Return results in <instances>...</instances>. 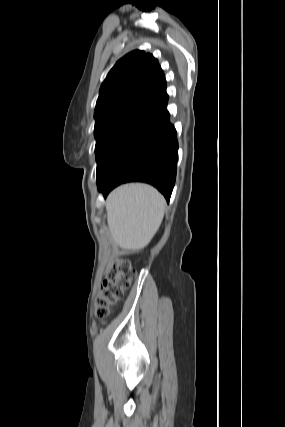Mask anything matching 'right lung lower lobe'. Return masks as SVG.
Returning a JSON list of instances; mask_svg holds the SVG:
<instances>
[{
	"instance_id": "obj_1",
	"label": "right lung lower lobe",
	"mask_w": 285,
	"mask_h": 427,
	"mask_svg": "<svg viewBox=\"0 0 285 427\" xmlns=\"http://www.w3.org/2000/svg\"><path fill=\"white\" fill-rule=\"evenodd\" d=\"M167 101L166 94L144 113L97 175L98 190L104 197L119 184L141 181L155 186L169 201L176 178L178 142L169 122Z\"/></svg>"
}]
</instances>
